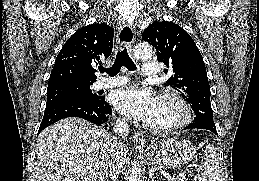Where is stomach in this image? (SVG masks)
<instances>
[{
    "instance_id": "0dacf381",
    "label": "stomach",
    "mask_w": 259,
    "mask_h": 181,
    "mask_svg": "<svg viewBox=\"0 0 259 181\" xmlns=\"http://www.w3.org/2000/svg\"><path fill=\"white\" fill-rule=\"evenodd\" d=\"M196 153L195 146L188 140L163 138L148 150L149 162L160 168H177L188 164Z\"/></svg>"
}]
</instances>
